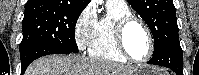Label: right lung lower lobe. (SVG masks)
I'll use <instances>...</instances> for the list:
<instances>
[{"label":"right lung lower lobe","mask_w":199,"mask_h":75,"mask_svg":"<svg viewBox=\"0 0 199 75\" xmlns=\"http://www.w3.org/2000/svg\"><path fill=\"white\" fill-rule=\"evenodd\" d=\"M76 53L69 50H63L55 46L36 42L20 50L21 55V74L25 72L28 65L35 59L49 54H69Z\"/></svg>","instance_id":"98d812e1"}]
</instances>
